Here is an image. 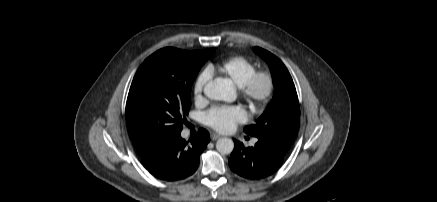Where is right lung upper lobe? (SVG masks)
Masks as SVG:
<instances>
[{"mask_svg":"<svg viewBox=\"0 0 437 202\" xmlns=\"http://www.w3.org/2000/svg\"><path fill=\"white\" fill-rule=\"evenodd\" d=\"M207 50H199V51H192V52H188L189 54L192 55H198V54H203L205 53ZM140 155L144 154L145 152H138Z\"/></svg>","mask_w":437,"mask_h":202,"instance_id":"cb5924a9","label":"right lung upper lobe"}]
</instances>
